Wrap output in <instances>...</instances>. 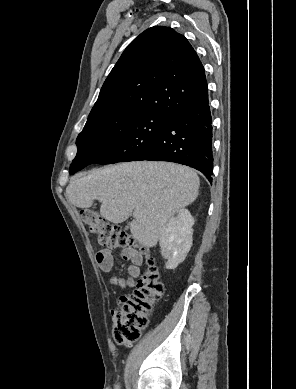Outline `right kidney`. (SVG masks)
<instances>
[{"label":"right kidney","mask_w":296,"mask_h":389,"mask_svg":"<svg viewBox=\"0 0 296 389\" xmlns=\"http://www.w3.org/2000/svg\"><path fill=\"white\" fill-rule=\"evenodd\" d=\"M194 218L187 209H180L163 227L160 248L167 259L165 268L172 270L182 263L192 246Z\"/></svg>","instance_id":"obj_1"}]
</instances>
